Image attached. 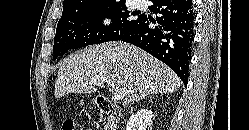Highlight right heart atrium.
Instances as JSON below:
<instances>
[{
    "label": "right heart atrium",
    "mask_w": 249,
    "mask_h": 130,
    "mask_svg": "<svg viewBox=\"0 0 249 130\" xmlns=\"http://www.w3.org/2000/svg\"><path fill=\"white\" fill-rule=\"evenodd\" d=\"M96 24L100 28L108 29L113 25V18L109 14H102L97 17Z\"/></svg>",
    "instance_id": "obj_1"
}]
</instances>
